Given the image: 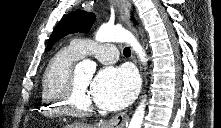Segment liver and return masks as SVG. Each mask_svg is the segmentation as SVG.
Wrapping results in <instances>:
<instances>
[{"mask_svg": "<svg viewBox=\"0 0 221 128\" xmlns=\"http://www.w3.org/2000/svg\"><path fill=\"white\" fill-rule=\"evenodd\" d=\"M65 128H92L90 125L83 123H74L71 125H66Z\"/></svg>", "mask_w": 221, "mask_h": 128, "instance_id": "obj_1", "label": "liver"}]
</instances>
